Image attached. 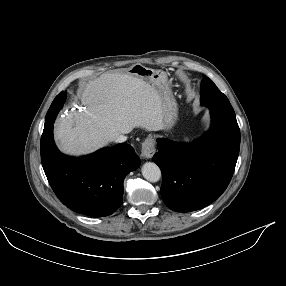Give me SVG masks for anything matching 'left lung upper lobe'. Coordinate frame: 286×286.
Returning a JSON list of instances; mask_svg holds the SVG:
<instances>
[{
	"label": "left lung upper lobe",
	"mask_w": 286,
	"mask_h": 286,
	"mask_svg": "<svg viewBox=\"0 0 286 286\" xmlns=\"http://www.w3.org/2000/svg\"><path fill=\"white\" fill-rule=\"evenodd\" d=\"M201 104L208 107H216L235 115L227 97L216 87L211 79L204 76L201 83Z\"/></svg>",
	"instance_id": "1"
}]
</instances>
